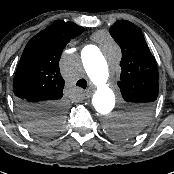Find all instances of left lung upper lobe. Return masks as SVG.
Instances as JSON below:
<instances>
[{
  "mask_svg": "<svg viewBox=\"0 0 174 174\" xmlns=\"http://www.w3.org/2000/svg\"><path fill=\"white\" fill-rule=\"evenodd\" d=\"M122 51V97L129 103L125 125L115 124L110 132L122 139L133 136L149 122L158 97V69L141 30L129 21L119 20L109 29Z\"/></svg>",
  "mask_w": 174,
  "mask_h": 174,
  "instance_id": "left-lung-upper-lobe-1",
  "label": "left lung upper lobe"
}]
</instances>
